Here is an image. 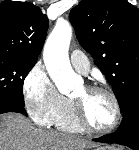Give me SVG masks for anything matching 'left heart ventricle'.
<instances>
[{"mask_svg":"<svg viewBox=\"0 0 139 150\" xmlns=\"http://www.w3.org/2000/svg\"><path fill=\"white\" fill-rule=\"evenodd\" d=\"M72 98L83 103L88 122L95 128H106L114 120V107L110 97L102 92H90L81 86Z\"/></svg>","mask_w":139,"mask_h":150,"instance_id":"left-heart-ventricle-1","label":"left heart ventricle"}]
</instances>
